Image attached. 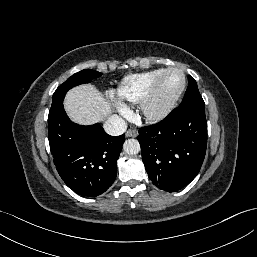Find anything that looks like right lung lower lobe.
<instances>
[{"label":"right lung lower lobe","instance_id":"obj_1","mask_svg":"<svg viewBox=\"0 0 257 257\" xmlns=\"http://www.w3.org/2000/svg\"><path fill=\"white\" fill-rule=\"evenodd\" d=\"M48 127L51 154L65 184L81 196L104 193L116 178L125 135L110 136L99 123L75 124L63 105L49 112Z\"/></svg>","mask_w":257,"mask_h":257}]
</instances>
